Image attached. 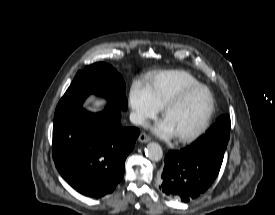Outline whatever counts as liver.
Returning <instances> with one entry per match:
<instances>
[{"label":"liver","mask_w":275,"mask_h":215,"mask_svg":"<svg viewBox=\"0 0 275 215\" xmlns=\"http://www.w3.org/2000/svg\"><path fill=\"white\" fill-rule=\"evenodd\" d=\"M105 104L106 101L103 99H93L88 109L92 111H99L104 107Z\"/></svg>","instance_id":"6515ba94"}]
</instances>
